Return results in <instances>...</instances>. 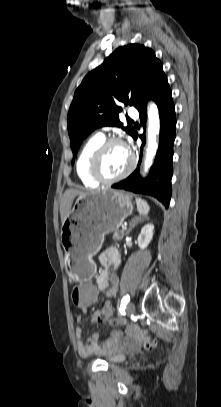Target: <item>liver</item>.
Here are the masks:
<instances>
[{"label":"liver","mask_w":221,"mask_h":407,"mask_svg":"<svg viewBox=\"0 0 221 407\" xmlns=\"http://www.w3.org/2000/svg\"><path fill=\"white\" fill-rule=\"evenodd\" d=\"M91 193H94V192H81V191L74 190V189H68L64 192L63 197L61 199V204H60V217H61L62 224L64 223V221L68 218V216L70 214L71 207H72L75 197L78 195L82 196V195L91 194Z\"/></svg>","instance_id":"liver-1"}]
</instances>
